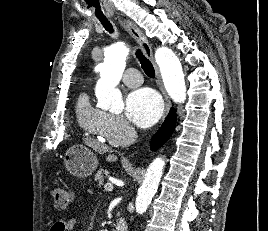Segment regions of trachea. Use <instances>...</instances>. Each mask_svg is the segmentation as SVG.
<instances>
[{
  "label": "trachea",
  "instance_id": "trachea-1",
  "mask_svg": "<svg viewBox=\"0 0 268 231\" xmlns=\"http://www.w3.org/2000/svg\"><path fill=\"white\" fill-rule=\"evenodd\" d=\"M100 22L102 23L105 30H107L110 33H113V31H114L113 26L107 19H100ZM136 56L139 59V61L141 63V67L144 70V72L146 73V75L151 77V78H154L155 77V70H154L152 63L146 57H144V55L142 54V52L140 50L136 51Z\"/></svg>",
  "mask_w": 268,
  "mask_h": 231
}]
</instances>
